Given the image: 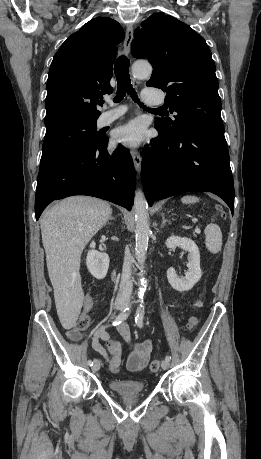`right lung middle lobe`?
<instances>
[{"label": "right lung middle lobe", "mask_w": 261, "mask_h": 459, "mask_svg": "<svg viewBox=\"0 0 261 459\" xmlns=\"http://www.w3.org/2000/svg\"><path fill=\"white\" fill-rule=\"evenodd\" d=\"M103 138L96 120H67L46 127L40 167L73 151L91 148Z\"/></svg>", "instance_id": "right-lung-middle-lobe-1"}]
</instances>
